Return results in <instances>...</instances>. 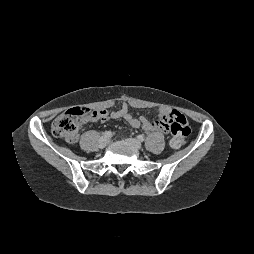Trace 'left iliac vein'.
<instances>
[{"label": "left iliac vein", "instance_id": "4c4485c4", "mask_svg": "<svg viewBox=\"0 0 254 254\" xmlns=\"http://www.w3.org/2000/svg\"><path fill=\"white\" fill-rule=\"evenodd\" d=\"M127 141H128L129 143H131L135 148H137V149H140V148H141V143H140L137 139L128 138Z\"/></svg>", "mask_w": 254, "mask_h": 254}]
</instances>
